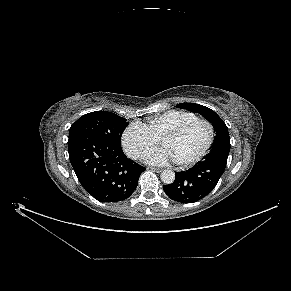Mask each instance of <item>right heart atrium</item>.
Returning a JSON list of instances; mask_svg holds the SVG:
<instances>
[{"label": "right heart atrium", "instance_id": "1", "mask_svg": "<svg viewBox=\"0 0 291 291\" xmlns=\"http://www.w3.org/2000/svg\"><path fill=\"white\" fill-rule=\"evenodd\" d=\"M122 143L130 157L140 159L148 150L159 143V139L153 135L146 125L135 122L124 130Z\"/></svg>", "mask_w": 291, "mask_h": 291}]
</instances>
